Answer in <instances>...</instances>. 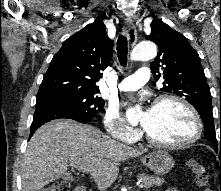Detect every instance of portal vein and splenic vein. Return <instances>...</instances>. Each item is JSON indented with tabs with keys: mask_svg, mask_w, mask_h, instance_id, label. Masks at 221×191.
Listing matches in <instances>:
<instances>
[{
	"mask_svg": "<svg viewBox=\"0 0 221 191\" xmlns=\"http://www.w3.org/2000/svg\"><path fill=\"white\" fill-rule=\"evenodd\" d=\"M71 165H73V163H71ZM84 170H85L86 172L89 171L88 169H84ZM137 186L140 187V188H142V187H143V184L138 183Z\"/></svg>",
	"mask_w": 221,
	"mask_h": 191,
	"instance_id": "18ae733b",
	"label": "portal vein and splenic vein"
}]
</instances>
